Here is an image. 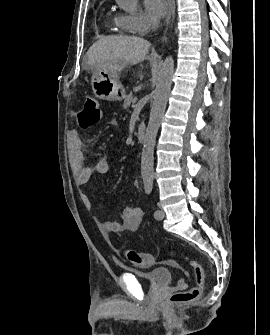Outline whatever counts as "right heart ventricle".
Listing matches in <instances>:
<instances>
[{
  "label": "right heart ventricle",
  "mask_w": 270,
  "mask_h": 335,
  "mask_svg": "<svg viewBox=\"0 0 270 335\" xmlns=\"http://www.w3.org/2000/svg\"><path fill=\"white\" fill-rule=\"evenodd\" d=\"M108 24L114 27L116 30L120 31H129L128 25L124 20L122 14L116 13L113 15L112 19L109 21L107 20ZM157 78H169V77H157Z\"/></svg>",
  "instance_id": "e07e8e85"
}]
</instances>
